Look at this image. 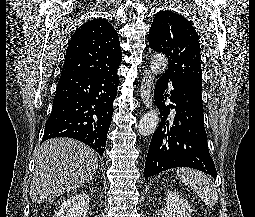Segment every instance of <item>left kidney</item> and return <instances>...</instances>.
<instances>
[{
	"mask_svg": "<svg viewBox=\"0 0 255 217\" xmlns=\"http://www.w3.org/2000/svg\"><path fill=\"white\" fill-rule=\"evenodd\" d=\"M192 208L176 191L166 194V206L161 211L162 217H191Z\"/></svg>",
	"mask_w": 255,
	"mask_h": 217,
	"instance_id": "5707ae66",
	"label": "left kidney"
}]
</instances>
